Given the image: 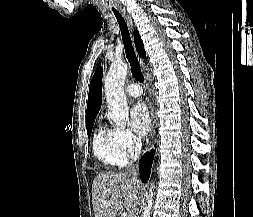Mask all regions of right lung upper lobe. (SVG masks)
Returning <instances> with one entry per match:
<instances>
[{"instance_id":"right-lung-upper-lobe-1","label":"right lung upper lobe","mask_w":253,"mask_h":217,"mask_svg":"<svg viewBox=\"0 0 253 217\" xmlns=\"http://www.w3.org/2000/svg\"><path fill=\"white\" fill-rule=\"evenodd\" d=\"M134 40L137 52L140 57L144 58L146 53L144 50L143 41L139 36V32L134 30ZM102 67L98 68L94 73L90 86H89V95H88V104H87V113H86V123L95 120L97 113L101 107V98H102Z\"/></svg>"}]
</instances>
